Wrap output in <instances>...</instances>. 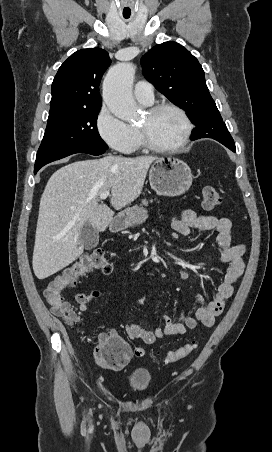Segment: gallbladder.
Segmentation results:
<instances>
[{"instance_id": "1", "label": "gallbladder", "mask_w": 272, "mask_h": 452, "mask_svg": "<svg viewBox=\"0 0 272 452\" xmlns=\"http://www.w3.org/2000/svg\"><path fill=\"white\" fill-rule=\"evenodd\" d=\"M80 239L83 247L91 250L99 243V232L90 222H86L81 228Z\"/></svg>"}]
</instances>
